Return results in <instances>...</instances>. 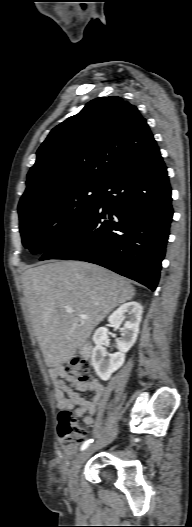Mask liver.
I'll list each match as a JSON object with an SVG mask.
<instances>
[{
  "instance_id": "obj_1",
  "label": "liver",
  "mask_w": 192,
  "mask_h": 527,
  "mask_svg": "<svg viewBox=\"0 0 192 527\" xmlns=\"http://www.w3.org/2000/svg\"><path fill=\"white\" fill-rule=\"evenodd\" d=\"M23 293L48 367L69 362L94 328L135 296L125 278L98 265L56 261L25 270ZM72 308V313L66 312ZM87 315L81 319L80 315Z\"/></svg>"
}]
</instances>
